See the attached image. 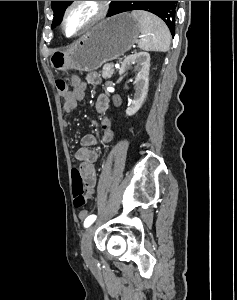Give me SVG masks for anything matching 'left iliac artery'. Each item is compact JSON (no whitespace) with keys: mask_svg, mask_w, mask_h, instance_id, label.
Listing matches in <instances>:
<instances>
[{"mask_svg":"<svg viewBox=\"0 0 237 300\" xmlns=\"http://www.w3.org/2000/svg\"><path fill=\"white\" fill-rule=\"evenodd\" d=\"M96 220V215L88 216L84 221V227L88 228Z\"/></svg>","mask_w":237,"mask_h":300,"instance_id":"left-iliac-artery-1","label":"left iliac artery"}]
</instances>
